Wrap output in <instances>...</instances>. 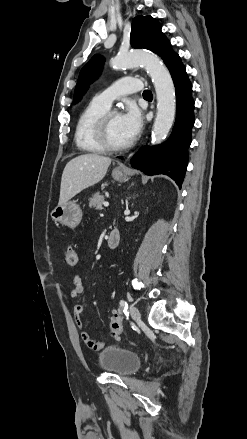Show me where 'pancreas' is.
<instances>
[{
  "label": "pancreas",
  "mask_w": 247,
  "mask_h": 439,
  "mask_svg": "<svg viewBox=\"0 0 247 439\" xmlns=\"http://www.w3.org/2000/svg\"><path fill=\"white\" fill-rule=\"evenodd\" d=\"M104 203V196L100 193H95L92 198L89 199V207L95 208L96 210H102Z\"/></svg>",
  "instance_id": "obj_1"
}]
</instances>
